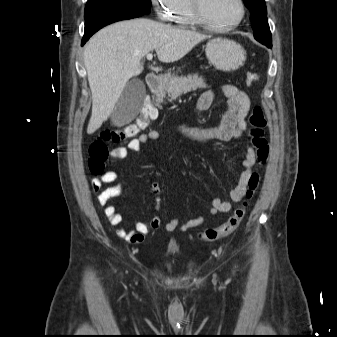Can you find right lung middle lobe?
<instances>
[{"instance_id":"obj_1","label":"right lung middle lobe","mask_w":337,"mask_h":337,"mask_svg":"<svg viewBox=\"0 0 337 337\" xmlns=\"http://www.w3.org/2000/svg\"><path fill=\"white\" fill-rule=\"evenodd\" d=\"M151 0H88L84 17L85 19L95 13L109 9H125L148 14Z\"/></svg>"}]
</instances>
